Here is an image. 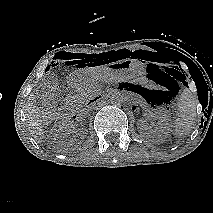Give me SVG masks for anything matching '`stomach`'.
Listing matches in <instances>:
<instances>
[{
  "instance_id": "stomach-1",
  "label": "stomach",
  "mask_w": 213,
  "mask_h": 213,
  "mask_svg": "<svg viewBox=\"0 0 213 213\" xmlns=\"http://www.w3.org/2000/svg\"><path fill=\"white\" fill-rule=\"evenodd\" d=\"M145 74V67L142 63L134 60H125L116 63L113 66L94 68L92 70L86 69L82 71H75L71 74V82L75 86H83L86 83L100 81L104 79L118 78L122 75H130L133 77L143 76Z\"/></svg>"
}]
</instances>
